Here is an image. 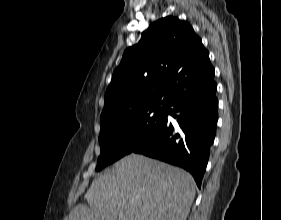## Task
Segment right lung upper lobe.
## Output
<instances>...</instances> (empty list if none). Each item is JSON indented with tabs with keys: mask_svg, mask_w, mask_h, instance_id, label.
I'll list each match as a JSON object with an SVG mask.
<instances>
[{
	"mask_svg": "<svg viewBox=\"0 0 281 220\" xmlns=\"http://www.w3.org/2000/svg\"><path fill=\"white\" fill-rule=\"evenodd\" d=\"M213 83L209 52L193 28L176 17L157 20L138 44L125 50L114 70L101 128L131 113L167 109L179 96Z\"/></svg>",
	"mask_w": 281,
	"mask_h": 220,
	"instance_id": "1",
	"label": "right lung upper lobe"
}]
</instances>
